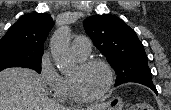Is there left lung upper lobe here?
<instances>
[{
	"label": "left lung upper lobe",
	"instance_id": "1",
	"mask_svg": "<svg viewBox=\"0 0 171 110\" xmlns=\"http://www.w3.org/2000/svg\"><path fill=\"white\" fill-rule=\"evenodd\" d=\"M83 26L95 47L114 68L115 86L127 82L153 83L144 47L124 21L113 15H94L86 18Z\"/></svg>",
	"mask_w": 171,
	"mask_h": 110
}]
</instances>
